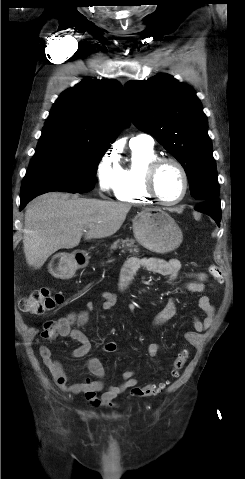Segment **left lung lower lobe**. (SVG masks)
I'll list each match as a JSON object with an SVG mask.
<instances>
[{
  "label": "left lung lower lobe",
  "instance_id": "1",
  "mask_svg": "<svg viewBox=\"0 0 245 479\" xmlns=\"http://www.w3.org/2000/svg\"><path fill=\"white\" fill-rule=\"evenodd\" d=\"M195 209L199 212L211 216L216 221L217 225L220 226L221 206L218 196L201 202L198 206L195 207Z\"/></svg>",
  "mask_w": 245,
  "mask_h": 479
}]
</instances>
